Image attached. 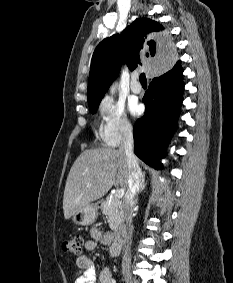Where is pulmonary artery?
Wrapping results in <instances>:
<instances>
[{
	"instance_id": "obj_1",
	"label": "pulmonary artery",
	"mask_w": 233,
	"mask_h": 283,
	"mask_svg": "<svg viewBox=\"0 0 233 283\" xmlns=\"http://www.w3.org/2000/svg\"><path fill=\"white\" fill-rule=\"evenodd\" d=\"M138 79H139L138 74L134 73L132 75V81H131L130 89L135 94H139L142 91V87H141Z\"/></svg>"
}]
</instances>
